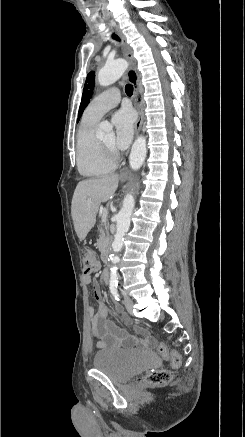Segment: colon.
<instances>
[{
	"mask_svg": "<svg viewBox=\"0 0 245 437\" xmlns=\"http://www.w3.org/2000/svg\"><path fill=\"white\" fill-rule=\"evenodd\" d=\"M83 269L86 274H94L100 270V263L92 249H87L83 257ZM158 352L164 359H170L171 366L176 369L181 366V357L175 350H170L164 343L159 344ZM173 377L171 371L160 369L154 371L146 377L150 384H164L169 382Z\"/></svg>",
	"mask_w": 245,
	"mask_h": 437,
	"instance_id": "obj_1",
	"label": "colon"
}]
</instances>
